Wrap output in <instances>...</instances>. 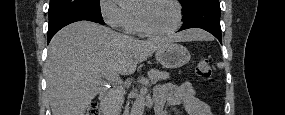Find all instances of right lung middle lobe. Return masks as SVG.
Instances as JSON below:
<instances>
[{"label":"right lung middle lobe","mask_w":285,"mask_h":115,"mask_svg":"<svg viewBox=\"0 0 285 115\" xmlns=\"http://www.w3.org/2000/svg\"><path fill=\"white\" fill-rule=\"evenodd\" d=\"M68 11L100 14V0H50L49 18Z\"/></svg>","instance_id":"right-lung-middle-lobe-1"}]
</instances>
